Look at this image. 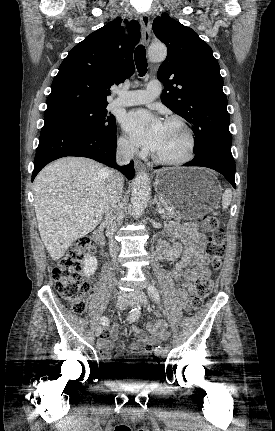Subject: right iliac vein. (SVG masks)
I'll return each instance as SVG.
<instances>
[{"mask_svg":"<svg viewBox=\"0 0 275 431\" xmlns=\"http://www.w3.org/2000/svg\"><path fill=\"white\" fill-rule=\"evenodd\" d=\"M130 303V297L127 296L125 293H120L117 298L116 306L118 309L123 310L127 306V304ZM102 332V326L98 325L96 328V336H99Z\"/></svg>","mask_w":275,"mask_h":431,"instance_id":"1","label":"right iliac vein"}]
</instances>
